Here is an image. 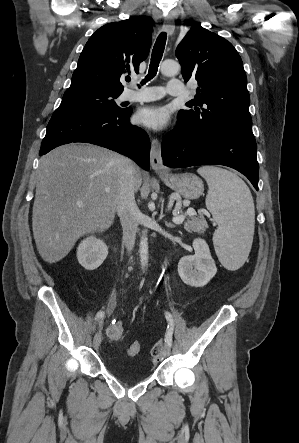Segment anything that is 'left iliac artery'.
<instances>
[{"mask_svg": "<svg viewBox=\"0 0 299 443\" xmlns=\"http://www.w3.org/2000/svg\"><path fill=\"white\" fill-rule=\"evenodd\" d=\"M165 317L168 321V327L165 334V342L171 347L172 346V334L174 329L173 317L169 312H165Z\"/></svg>", "mask_w": 299, "mask_h": 443, "instance_id": "obj_1", "label": "left iliac artery"}]
</instances>
